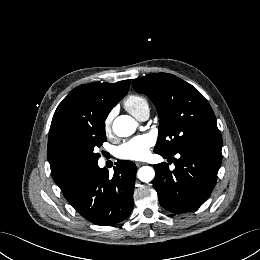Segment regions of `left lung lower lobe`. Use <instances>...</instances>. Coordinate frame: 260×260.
Here are the masks:
<instances>
[{
	"mask_svg": "<svg viewBox=\"0 0 260 260\" xmlns=\"http://www.w3.org/2000/svg\"><path fill=\"white\" fill-rule=\"evenodd\" d=\"M160 155L175 163L173 171L164 162L154 165V187L161 206L173 213H185L200 207L216 184L221 147H190L178 152L179 159L174 155Z\"/></svg>",
	"mask_w": 260,
	"mask_h": 260,
	"instance_id": "0a47b994",
	"label": "left lung lower lobe"
}]
</instances>
